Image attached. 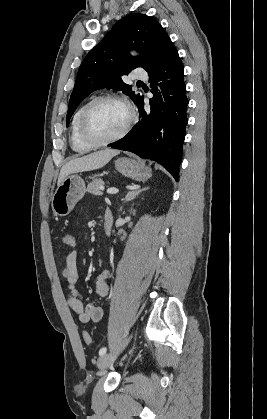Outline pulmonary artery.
<instances>
[{
	"label": "pulmonary artery",
	"instance_id": "e3ab8cb5",
	"mask_svg": "<svg viewBox=\"0 0 267 419\" xmlns=\"http://www.w3.org/2000/svg\"><path fill=\"white\" fill-rule=\"evenodd\" d=\"M147 77V73L140 69L135 70L133 73V78L137 80H146Z\"/></svg>",
	"mask_w": 267,
	"mask_h": 419
}]
</instances>
